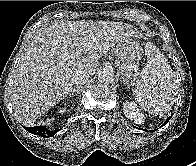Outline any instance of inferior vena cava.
<instances>
[{
  "label": "inferior vena cava",
  "instance_id": "602c4592",
  "mask_svg": "<svg viewBox=\"0 0 196 166\" xmlns=\"http://www.w3.org/2000/svg\"><path fill=\"white\" fill-rule=\"evenodd\" d=\"M92 75L88 72H76L73 76V80L75 84H83L85 83Z\"/></svg>",
  "mask_w": 196,
  "mask_h": 166
}]
</instances>
